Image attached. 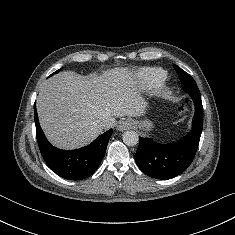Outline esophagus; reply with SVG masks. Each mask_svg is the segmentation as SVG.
Listing matches in <instances>:
<instances>
[{
    "label": "esophagus",
    "mask_w": 235,
    "mask_h": 235,
    "mask_svg": "<svg viewBox=\"0 0 235 235\" xmlns=\"http://www.w3.org/2000/svg\"><path fill=\"white\" fill-rule=\"evenodd\" d=\"M132 127V122L129 119H122L119 121L117 129L119 131H125Z\"/></svg>",
    "instance_id": "1"
}]
</instances>
